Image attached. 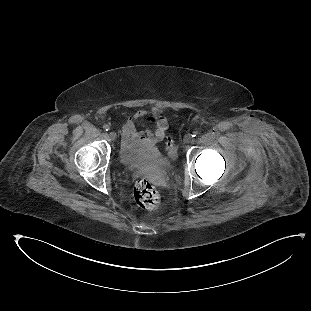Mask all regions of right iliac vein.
<instances>
[{
    "label": "right iliac vein",
    "instance_id": "63e3f726",
    "mask_svg": "<svg viewBox=\"0 0 311 311\" xmlns=\"http://www.w3.org/2000/svg\"><path fill=\"white\" fill-rule=\"evenodd\" d=\"M109 138L111 139V140H115L116 138H117V134L115 133V132H110L109 133Z\"/></svg>",
    "mask_w": 311,
    "mask_h": 311
}]
</instances>
